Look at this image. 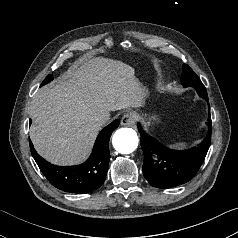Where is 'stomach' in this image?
Masks as SVG:
<instances>
[{"label": "stomach", "mask_w": 238, "mask_h": 238, "mask_svg": "<svg viewBox=\"0 0 238 238\" xmlns=\"http://www.w3.org/2000/svg\"><path fill=\"white\" fill-rule=\"evenodd\" d=\"M152 119L154 120V119H156V117H155V116H153V117H152ZM146 124H147V125H149V124H150V122H146Z\"/></svg>", "instance_id": "1"}]
</instances>
